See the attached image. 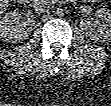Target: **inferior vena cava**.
Segmentation results:
<instances>
[{
  "mask_svg": "<svg viewBox=\"0 0 111 106\" xmlns=\"http://www.w3.org/2000/svg\"><path fill=\"white\" fill-rule=\"evenodd\" d=\"M33 8L37 12H41V13L49 11V6H47V1L45 0H35L33 4Z\"/></svg>",
  "mask_w": 111,
  "mask_h": 106,
  "instance_id": "602c4592",
  "label": "inferior vena cava"
}]
</instances>
